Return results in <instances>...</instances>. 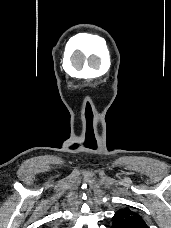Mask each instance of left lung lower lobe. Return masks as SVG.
Masks as SVG:
<instances>
[{
  "instance_id": "0a47b994",
  "label": "left lung lower lobe",
  "mask_w": 171,
  "mask_h": 228,
  "mask_svg": "<svg viewBox=\"0 0 171 228\" xmlns=\"http://www.w3.org/2000/svg\"><path fill=\"white\" fill-rule=\"evenodd\" d=\"M111 228H148V226L145 222L126 220L120 223L113 222Z\"/></svg>"
}]
</instances>
